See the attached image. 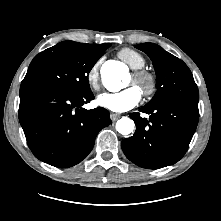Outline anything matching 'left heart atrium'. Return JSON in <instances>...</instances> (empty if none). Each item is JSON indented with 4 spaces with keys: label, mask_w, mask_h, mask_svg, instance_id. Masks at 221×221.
Listing matches in <instances>:
<instances>
[{
    "label": "left heart atrium",
    "mask_w": 221,
    "mask_h": 221,
    "mask_svg": "<svg viewBox=\"0 0 221 221\" xmlns=\"http://www.w3.org/2000/svg\"><path fill=\"white\" fill-rule=\"evenodd\" d=\"M141 100L136 86H129L117 92H105L98 96L97 103L113 112H124L135 107Z\"/></svg>",
    "instance_id": "1"
}]
</instances>
